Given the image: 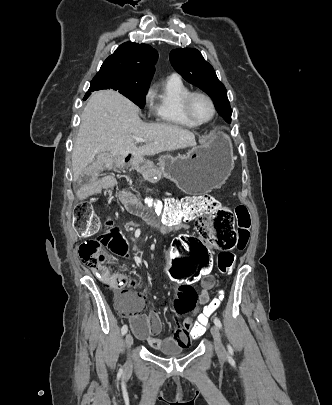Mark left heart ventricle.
I'll use <instances>...</instances> for the list:
<instances>
[{
  "label": "left heart ventricle",
  "instance_id": "left-heart-ventricle-1",
  "mask_svg": "<svg viewBox=\"0 0 332 405\" xmlns=\"http://www.w3.org/2000/svg\"><path fill=\"white\" fill-rule=\"evenodd\" d=\"M191 112L197 120L204 121L211 116L212 108L208 100L204 97L196 96L191 101Z\"/></svg>",
  "mask_w": 332,
  "mask_h": 405
}]
</instances>
